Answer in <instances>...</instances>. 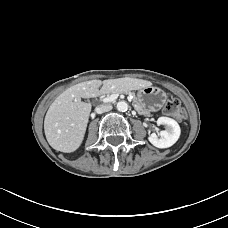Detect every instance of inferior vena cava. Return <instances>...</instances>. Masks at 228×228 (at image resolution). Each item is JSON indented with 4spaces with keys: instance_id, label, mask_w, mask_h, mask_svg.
<instances>
[{
    "instance_id": "1",
    "label": "inferior vena cava",
    "mask_w": 228,
    "mask_h": 228,
    "mask_svg": "<svg viewBox=\"0 0 228 228\" xmlns=\"http://www.w3.org/2000/svg\"><path fill=\"white\" fill-rule=\"evenodd\" d=\"M111 109H112V106L109 105V104H106V105L97 106V107L95 108V111H96L97 113H104V112L110 111Z\"/></svg>"
}]
</instances>
